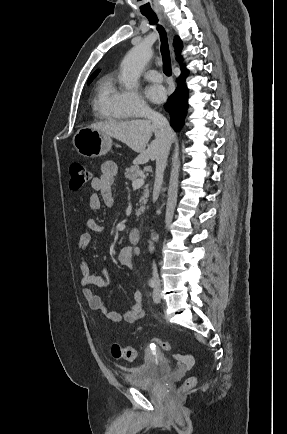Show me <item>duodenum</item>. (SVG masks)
I'll return each instance as SVG.
<instances>
[{
    "label": "duodenum",
    "instance_id": "duodenum-1",
    "mask_svg": "<svg viewBox=\"0 0 287 434\" xmlns=\"http://www.w3.org/2000/svg\"><path fill=\"white\" fill-rule=\"evenodd\" d=\"M128 238H129V241L131 243H134V244L138 243L140 241V238H141L140 230L138 228H132L129 231Z\"/></svg>",
    "mask_w": 287,
    "mask_h": 434
}]
</instances>
